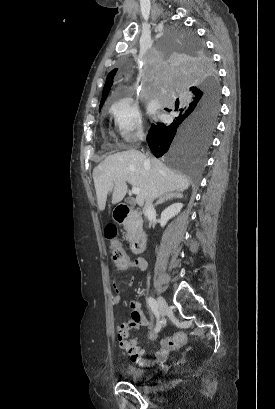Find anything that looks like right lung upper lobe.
<instances>
[{
  "mask_svg": "<svg viewBox=\"0 0 275 409\" xmlns=\"http://www.w3.org/2000/svg\"><path fill=\"white\" fill-rule=\"evenodd\" d=\"M116 72H117V69H114L107 76L106 83H105L103 93H102V99H101V102H100V108L104 104V101L106 100V98H107V96L109 94V91H110V88H111V86L113 84V79H114V76H115ZM194 91L195 90H191V92H194Z\"/></svg>",
  "mask_w": 275,
  "mask_h": 409,
  "instance_id": "1",
  "label": "right lung upper lobe"
}]
</instances>
